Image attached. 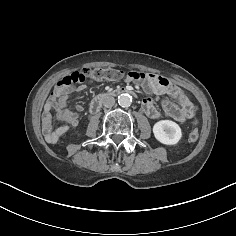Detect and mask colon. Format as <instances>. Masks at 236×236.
<instances>
[{
	"label": "colon",
	"instance_id": "colon-1",
	"mask_svg": "<svg viewBox=\"0 0 236 236\" xmlns=\"http://www.w3.org/2000/svg\"><path fill=\"white\" fill-rule=\"evenodd\" d=\"M124 72L115 68H95V69H84L82 72H73L64 79L65 85L80 84L83 83L87 78L94 80H109L115 81L123 77ZM128 75L134 80H141L144 78L143 73L138 71H132ZM199 137L198 131V120L193 121V129L189 134V139L195 142Z\"/></svg>",
	"mask_w": 236,
	"mask_h": 236
}]
</instances>
